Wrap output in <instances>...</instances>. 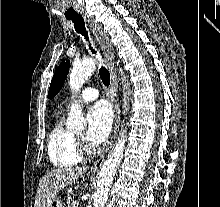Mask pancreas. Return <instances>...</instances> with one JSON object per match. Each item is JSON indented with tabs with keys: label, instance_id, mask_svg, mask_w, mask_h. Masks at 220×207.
Here are the masks:
<instances>
[{
	"label": "pancreas",
	"instance_id": "cf45deb5",
	"mask_svg": "<svg viewBox=\"0 0 220 207\" xmlns=\"http://www.w3.org/2000/svg\"><path fill=\"white\" fill-rule=\"evenodd\" d=\"M66 207H73V200L70 196L67 198Z\"/></svg>",
	"mask_w": 220,
	"mask_h": 207
}]
</instances>
